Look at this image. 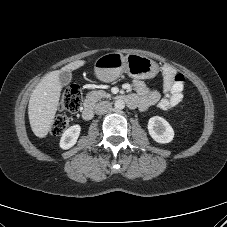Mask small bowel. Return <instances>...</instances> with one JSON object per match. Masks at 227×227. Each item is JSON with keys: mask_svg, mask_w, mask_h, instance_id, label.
<instances>
[{"mask_svg": "<svg viewBox=\"0 0 227 227\" xmlns=\"http://www.w3.org/2000/svg\"><path fill=\"white\" fill-rule=\"evenodd\" d=\"M163 74V96L160 92L149 88L143 81L136 80L134 87L137 99V107L146 111L153 105H157L163 111L170 110L183 99L184 78L180 74H176L175 70L170 66H165L162 71Z\"/></svg>", "mask_w": 227, "mask_h": 227, "instance_id": "c3829d8e", "label": "small bowel"}]
</instances>
